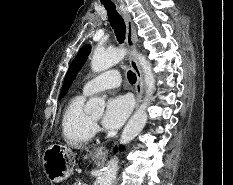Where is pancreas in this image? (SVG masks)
<instances>
[{"label":"pancreas","mask_w":233,"mask_h":185,"mask_svg":"<svg viewBox=\"0 0 233 185\" xmlns=\"http://www.w3.org/2000/svg\"><path fill=\"white\" fill-rule=\"evenodd\" d=\"M73 185H81V180L77 179L76 182Z\"/></svg>","instance_id":"obj_1"}]
</instances>
